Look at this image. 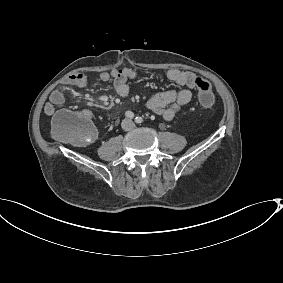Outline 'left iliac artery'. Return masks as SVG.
<instances>
[{
	"label": "left iliac artery",
	"instance_id": "44dca946",
	"mask_svg": "<svg viewBox=\"0 0 283 283\" xmlns=\"http://www.w3.org/2000/svg\"><path fill=\"white\" fill-rule=\"evenodd\" d=\"M135 122L138 123V124H140V123L143 122V119H142L141 117H136V118H135Z\"/></svg>",
	"mask_w": 283,
	"mask_h": 283
}]
</instances>
